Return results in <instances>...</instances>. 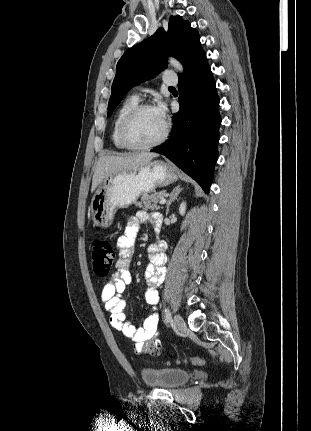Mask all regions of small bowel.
Returning a JSON list of instances; mask_svg holds the SVG:
<instances>
[{
  "mask_svg": "<svg viewBox=\"0 0 311 431\" xmlns=\"http://www.w3.org/2000/svg\"><path fill=\"white\" fill-rule=\"evenodd\" d=\"M144 224H149L153 232L158 235L161 230L162 215L157 212L139 211L127 220L124 233L117 241L119 255L117 268L110 275L101 292V300L105 310L110 315L111 326L132 339L138 346L145 341L156 338L159 334L158 286L164 276L163 266L166 262L165 250L167 246L166 242L160 240L149 248V264L145 270L147 283L145 300L150 305V314L141 326L136 327L126 320L128 301L123 295L131 283L130 261L140 227Z\"/></svg>",
  "mask_w": 311,
  "mask_h": 431,
  "instance_id": "1",
  "label": "small bowel"
}]
</instances>
